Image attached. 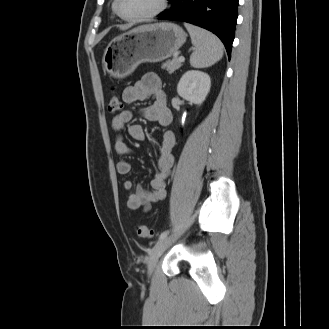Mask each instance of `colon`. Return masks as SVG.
I'll return each instance as SVG.
<instances>
[{"label": "colon", "instance_id": "colon-1", "mask_svg": "<svg viewBox=\"0 0 329 329\" xmlns=\"http://www.w3.org/2000/svg\"><path fill=\"white\" fill-rule=\"evenodd\" d=\"M122 109V102L118 95L112 94L108 100V110L110 113H117ZM136 234L141 238H152L155 232L146 225H138Z\"/></svg>", "mask_w": 329, "mask_h": 329}]
</instances>
